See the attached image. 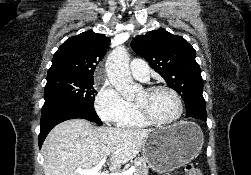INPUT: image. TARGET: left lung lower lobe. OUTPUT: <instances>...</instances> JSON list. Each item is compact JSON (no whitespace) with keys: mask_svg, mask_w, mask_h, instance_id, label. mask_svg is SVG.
<instances>
[{"mask_svg":"<svg viewBox=\"0 0 251 175\" xmlns=\"http://www.w3.org/2000/svg\"><path fill=\"white\" fill-rule=\"evenodd\" d=\"M188 118L206 121L207 113L205 103H189L186 104Z\"/></svg>","mask_w":251,"mask_h":175,"instance_id":"0a47b994","label":"left lung lower lobe"}]
</instances>
